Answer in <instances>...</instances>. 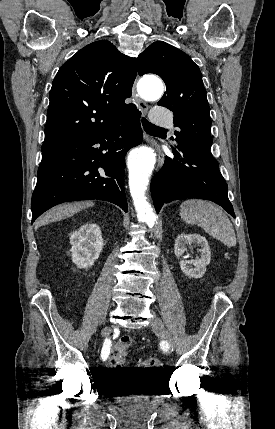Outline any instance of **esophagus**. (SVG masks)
Instances as JSON below:
<instances>
[{
    "label": "esophagus",
    "mask_w": 275,
    "mask_h": 429,
    "mask_svg": "<svg viewBox=\"0 0 275 429\" xmlns=\"http://www.w3.org/2000/svg\"><path fill=\"white\" fill-rule=\"evenodd\" d=\"M132 97L138 109L145 114L148 111V105L138 96L135 85L132 88ZM146 140L155 147L158 156V166L161 167L164 163V154L154 141L149 140L148 137H146Z\"/></svg>",
    "instance_id": "obj_1"
}]
</instances>
